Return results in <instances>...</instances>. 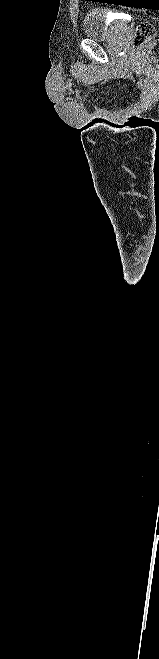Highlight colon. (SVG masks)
Listing matches in <instances>:
<instances>
[{
	"label": "colon",
	"instance_id": "obj_1",
	"mask_svg": "<svg viewBox=\"0 0 159 659\" xmlns=\"http://www.w3.org/2000/svg\"><path fill=\"white\" fill-rule=\"evenodd\" d=\"M156 36V28L149 21H142L138 24L133 39L135 48H142L149 40Z\"/></svg>",
	"mask_w": 159,
	"mask_h": 659
}]
</instances>
